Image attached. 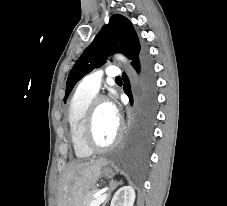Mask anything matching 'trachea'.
Segmentation results:
<instances>
[{
    "label": "trachea",
    "mask_w": 227,
    "mask_h": 206,
    "mask_svg": "<svg viewBox=\"0 0 227 206\" xmlns=\"http://www.w3.org/2000/svg\"><path fill=\"white\" fill-rule=\"evenodd\" d=\"M115 80L116 81H120L121 80V77H117Z\"/></svg>",
    "instance_id": "trachea-1"
}]
</instances>
